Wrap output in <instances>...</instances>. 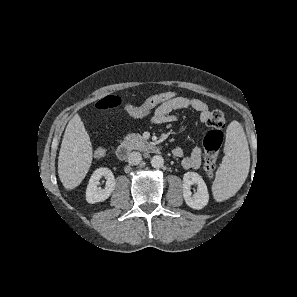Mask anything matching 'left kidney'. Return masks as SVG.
I'll use <instances>...</instances> for the list:
<instances>
[{"label": "left kidney", "instance_id": "obj_1", "mask_svg": "<svg viewBox=\"0 0 297 297\" xmlns=\"http://www.w3.org/2000/svg\"><path fill=\"white\" fill-rule=\"evenodd\" d=\"M197 185V192L192 194L191 185ZM183 197L186 204L193 209H202L209 201L207 186L196 172H187L183 176Z\"/></svg>", "mask_w": 297, "mask_h": 297}]
</instances>
